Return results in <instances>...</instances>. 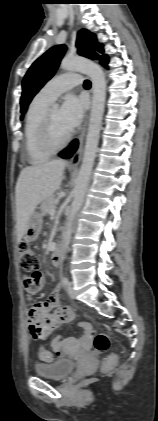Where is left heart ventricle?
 I'll list each match as a JSON object with an SVG mask.
<instances>
[{"instance_id": "b2bd125f", "label": "left heart ventricle", "mask_w": 158, "mask_h": 421, "mask_svg": "<svg viewBox=\"0 0 158 421\" xmlns=\"http://www.w3.org/2000/svg\"><path fill=\"white\" fill-rule=\"evenodd\" d=\"M51 124L56 141L63 140L70 132L62 123L59 109H51Z\"/></svg>"}]
</instances>
